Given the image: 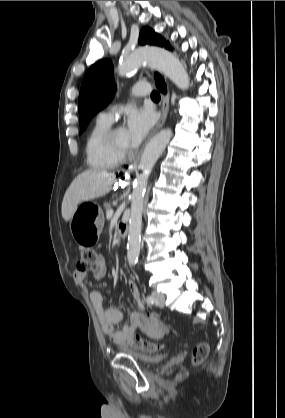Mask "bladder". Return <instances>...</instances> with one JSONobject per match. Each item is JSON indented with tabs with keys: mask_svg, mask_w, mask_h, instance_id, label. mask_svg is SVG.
Wrapping results in <instances>:
<instances>
[{
	"mask_svg": "<svg viewBox=\"0 0 285 418\" xmlns=\"http://www.w3.org/2000/svg\"><path fill=\"white\" fill-rule=\"evenodd\" d=\"M121 350L126 352V354L131 356L136 362L144 365H152L158 363L165 357L164 355L152 352L135 351L128 347H121Z\"/></svg>",
	"mask_w": 285,
	"mask_h": 418,
	"instance_id": "31cf9c89",
	"label": "bladder"
}]
</instances>
